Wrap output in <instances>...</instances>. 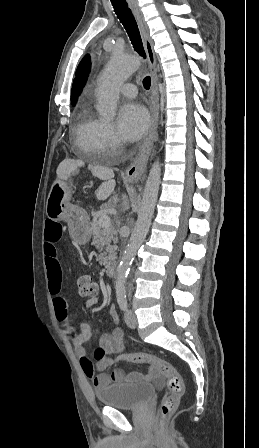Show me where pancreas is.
<instances>
[{
  "mask_svg": "<svg viewBox=\"0 0 259 448\" xmlns=\"http://www.w3.org/2000/svg\"><path fill=\"white\" fill-rule=\"evenodd\" d=\"M91 226L95 248H97L99 252L106 250V252L97 256V260H100L101 266L109 268L111 262L117 260V246H110L111 242H114V244L117 242V238H115V236H117V230H115V228H101L98 222H91ZM106 254H108V256H106Z\"/></svg>",
  "mask_w": 259,
  "mask_h": 448,
  "instance_id": "pancreas-1",
  "label": "pancreas"
}]
</instances>
